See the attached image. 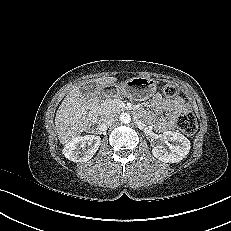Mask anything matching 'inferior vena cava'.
<instances>
[{
  "label": "inferior vena cava",
  "instance_id": "602c4592",
  "mask_svg": "<svg viewBox=\"0 0 231 231\" xmlns=\"http://www.w3.org/2000/svg\"><path fill=\"white\" fill-rule=\"evenodd\" d=\"M116 121L117 115L115 114H108L102 118V124L107 127L112 126Z\"/></svg>",
  "mask_w": 231,
  "mask_h": 231
}]
</instances>
